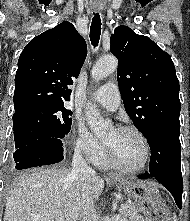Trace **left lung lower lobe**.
Here are the masks:
<instances>
[{
  "instance_id": "obj_1",
  "label": "left lung lower lobe",
  "mask_w": 190,
  "mask_h": 221,
  "mask_svg": "<svg viewBox=\"0 0 190 221\" xmlns=\"http://www.w3.org/2000/svg\"><path fill=\"white\" fill-rule=\"evenodd\" d=\"M180 127L163 126L149 134L151 149L150 170L140 179L155 178L173 195L179 208L182 206L183 179L181 173Z\"/></svg>"
}]
</instances>
